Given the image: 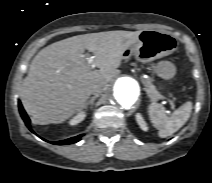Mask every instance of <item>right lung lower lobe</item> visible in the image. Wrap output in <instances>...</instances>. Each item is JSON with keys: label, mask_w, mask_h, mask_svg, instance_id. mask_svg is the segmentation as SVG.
Segmentation results:
<instances>
[{"label": "right lung lower lobe", "mask_w": 212, "mask_h": 183, "mask_svg": "<svg viewBox=\"0 0 212 183\" xmlns=\"http://www.w3.org/2000/svg\"><path fill=\"white\" fill-rule=\"evenodd\" d=\"M18 105H19L20 114H21L26 126L32 131L31 126H30V119L28 118L27 114L25 113L20 101L18 102ZM81 136L82 135H79L77 137H72V138H69V139H66V140H62V141H57V142H54V144L66 145V144L76 143L80 140Z\"/></svg>", "instance_id": "obj_1"}]
</instances>
